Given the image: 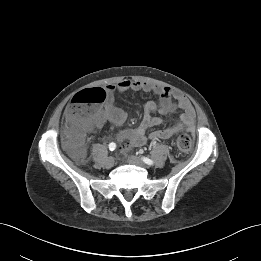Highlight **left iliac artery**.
<instances>
[{
	"mask_svg": "<svg viewBox=\"0 0 261 261\" xmlns=\"http://www.w3.org/2000/svg\"><path fill=\"white\" fill-rule=\"evenodd\" d=\"M142 160H143L144 163H146L148 165H153L154 164V162L151 159L147 158V157H142Z\"/></svg>",
	"mask_w": 261,
	"mask_h": 261,
	"instance_id": "obj_1",
	"label": "left iliac artery"
}]
</instances>
